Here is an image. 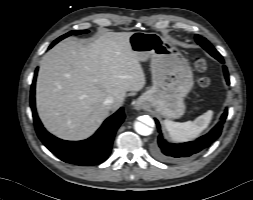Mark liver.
Returning <instances> with one entry per match:
<instances>
[{
    "label": "liver",
    "mask_w": 253,
    "mask_h": 200,
    "mask_svg": "<svg viewBox=\"0 0 253 200\" xmlns=\"http://www.w3.org/2000/svg\"><path fill=\"white\" fill-rule=\"evenodd\" d=\"M132 33L105 32L89 45L68 38L42 57L36 106L48 131L86 139L123 104L126 91L143 89L145 74L129 44ZM109 96L115 99L111 109L104 105Z\"/></svg>",
    "instance_id": "6515ba94"
}]
</instances>
